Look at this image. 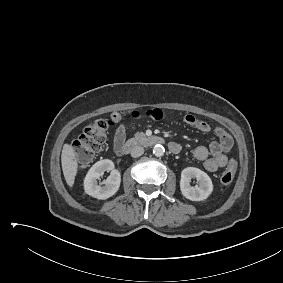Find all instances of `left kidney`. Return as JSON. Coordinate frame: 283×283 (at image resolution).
Returning <instances> with one entry per match:
<instances>
[{
    "label": "left kidney",
    "mask_w": 283,
    "mask_h": 283,
    "mask_svg": "<svg viewBox=\"0 0 283 283\" xmlns=\"http://www.w3.org/2000/svg\"><path fill=\"white\" fill-rule=\"evenodd\" d=\"M192 178H196L198 185L191 186ZM180 189L182 195L191 201H203L213 191L210 177L202 170L195 167H187L181 172Z\"/></svg>",
    "instance_id": "5707ae66"
}]
</instances>
